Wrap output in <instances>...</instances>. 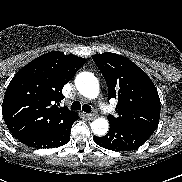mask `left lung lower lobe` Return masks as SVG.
Returning a JSON list of instances; mask_svg holds the SVG:
<instances>
[{"instance_id":"obj_1","label":"left lung lower lobe","mask_w":182,"mask_h":182,"mask_svg":"<svg viewBox=\"0 0 182 182\" xmlns=\"http://www.w3.org/2000/svg\"><path fill=\"white\" fill-rule=\"evenodd\" d=\"M109 123V132L103 137L93 136V139L97 145L114 151L135 150L154 133V131L145 127Z\"/></svg>"}]
</instances>
